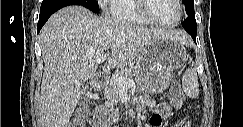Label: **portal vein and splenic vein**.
Returning a JSON list of instances; mask_svg holds the SVG:
<instances>
[{"label": "portal vein and splenic vein", "instance_id": "18ae733b", "mask_svg": "<svg viewBox=\"0 0 243 127\" xmlns=\"http://www.w3.org/2000/svg\"><path fill=\"white\" fill-rule=\"evenodd\" d=\"M107 56L106 54H102L96 58V63L100 64L106 60ZM118 83L121 86V88H127L130 87L134 82L133 79L125 80L124 77L120 76L118 78Z\"/></svg>", "mask_w": 243, "mask_h": 127}]
</instances>
